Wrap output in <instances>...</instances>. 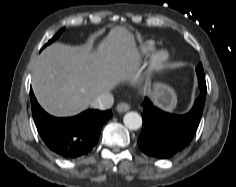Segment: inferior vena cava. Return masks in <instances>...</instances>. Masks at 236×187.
I'll list each match as a JSON object with an SVG mask.
<instances>
[{"instance_id":"1","label":"inferior vena cava","mask_w":236,"mask_h":187,"mask_svg":"<svg viewBox=\"0 0 236 187\" xmlns=\"http://www.w3.org/2000/svg\"><path fill=\"white\" fill-rule=\"evenodd\" d=\"M114 98L110 93H102L92 103L91 107L100 110H107L112 107Z\"/></svg>"}]
</instances>
